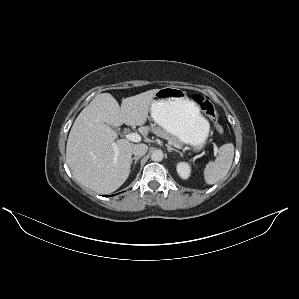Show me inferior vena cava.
<instances>
[{
  "label": "inferior vena cava",
  "instance_id": "602c4592",
  "mask_svg": "<svg viewBox=\"0 0 299 299\" xmlns=\"http://www.w3.org/2000/svg\"><path fill=\"white\" fill-rule=\"evenodd\" d=\"M148 146L146 144H137L134 146L132 153L135 156H143L146 154Z\"/></svg>",
  "mask_w": 299,
  "mask_h": 299
}]
</instances>
